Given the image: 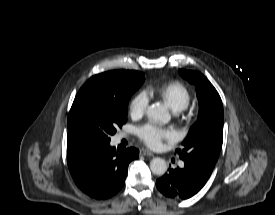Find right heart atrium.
Instances as JSON below:
<instances>
[{
  "instance_id": "obj_1",
  "label": "right heart atrium",
  "mask_w": 275,
  "mask_h": 215,
  "mask_svg": "<svg viewBox=\"0 0 275 215\" xmlns=\"http://www.w3.org/2000/svg\"><path fill=\"white\" fill-rule=\"evenodd\" d=\"M148 103L149 98L146 92L141 91L136 93L129 103L130 115L134 118L143 116L147 110Z\"/></svg>"
}]
</instances>
